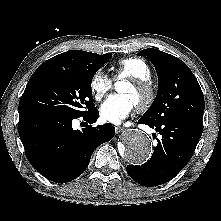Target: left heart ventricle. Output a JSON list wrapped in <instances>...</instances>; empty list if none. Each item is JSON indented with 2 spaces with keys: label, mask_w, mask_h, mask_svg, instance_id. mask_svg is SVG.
Returning <instances> with one entry per match:
<instances>
[{
  "label": "left heart ventricle",
  "mask_w": 221,
  "mask_h": 221,
  "mask_svg": "<svg viewBox=\"0 0 221 221\" xmlns=\"http://www.w3.org/2000/svg\"><path fill=\"white\" fill-rule=\"evenodd\" d=\"M119 92L121 94L128 95L133 103L136 105L138 102H140L143 98V94L141 91L137 90L134 88L131 84L129 83H123L120 88Z\"/></svg>",
  "instance_id": "obj_1"
}]
</instances>
